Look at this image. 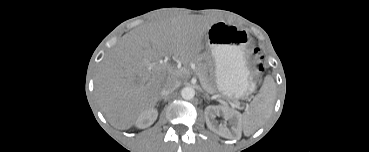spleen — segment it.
Segmentation results:
<instances>
[{
  "mask_svg": "<svg viewBox=\"0 0 369 152\" xmlns=\"http://www.w3.org/2000/svg\"><path fill=\"white\" fill-rule=\"evenodd\" d=\"M274 100V82L268 77L250 108L240 117L245 134L250 135L255 132L270 116L273 110Z\"/></svg>",
  "mask_w": 369,
  "mask_h": 152,
  "instance_id": "spleen-1",
  "label": "spleen"
}]
</instances>
